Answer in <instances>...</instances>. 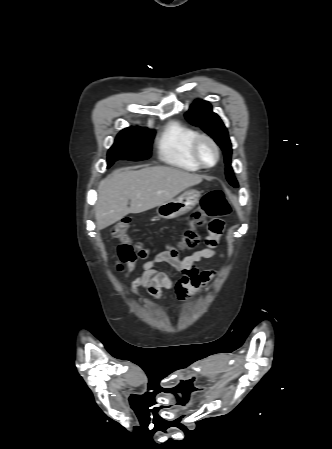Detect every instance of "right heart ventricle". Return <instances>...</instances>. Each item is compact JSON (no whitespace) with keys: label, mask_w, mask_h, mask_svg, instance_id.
<instances>
[{"label":"right heart ventricle","mask_w":332,"mask_h":449,"mask_svg":"<svg viewBox=\"0 0 332 449\" xmlns=\"http://www.w3.org/2000/svg\"><path fill=\"white\" fill-rule=\"evenodd\" d=\"M197 131L185 123L170 121L161 132L158 139V155L161 160L172 166L196 171L201 167L191 153V143Z\"/></svg>","instance_id":"e07e8e85"}]
</instances>
